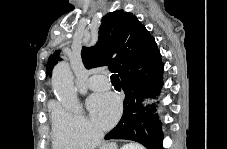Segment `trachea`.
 Listing matches in <instances>:
<instances>
[{
	"label": "trachea",
	"mask_w": 227,
	"mask_h": 149,
	"mask_svg": "<svg viewBox=\"0 0 227 149\" xmlns=\"http://www.w3.org/2000/svg\"><path fill=\"white\" fill-rule=\"evenodd\" d=\"M111 83H112L113 85H118V84H120L119 76H118L116 73H114V74L111 75Z\"/></svg>",
	"instance_id": "1"
}]
</instances>
